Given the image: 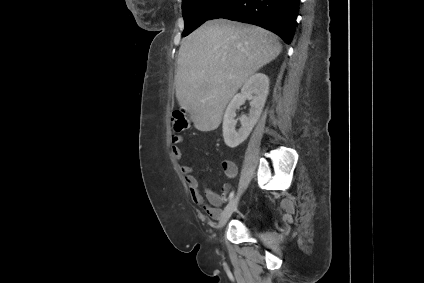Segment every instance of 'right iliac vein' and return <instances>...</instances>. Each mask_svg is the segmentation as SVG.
<instances>
[{"label":"right iliac vein","instance_id":"obj_1","mask_svg":"<svg viewBox=\"0 0 424 283\" xmlns=\"http://www.w3.org/2000/svg\"><path fill=\"white\" fill-rule=\"evenodd\" d=\"M239 198L240 195H236L231 202L227 205V207L225 208V210L223 211L221 218H220V222H219V227L222 228L227 221L229 220L230 216L232 215V213L236 210L237 206H238V202H239Z\"/></svg>","mask_w":424,"mask_h":283}]
</instances>
